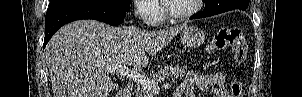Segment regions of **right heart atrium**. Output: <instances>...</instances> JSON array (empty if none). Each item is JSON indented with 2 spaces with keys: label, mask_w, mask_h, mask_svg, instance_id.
I'll use <instances>...</instances> for the list:
<instances>
[{
  "label": "right heart atrium",
  "mask_w": 302,
  "mask_h": 97,
  "mask_svg": "<svg viewBox=\"0 0 302 97\" xmlns=\"http://www.w3.org/2000/svg\"><path fill=\"white\" fill-rule=\"evenodd\" d=\"M136 12L147 24H157L162 20V10L157 0L136 1Z\"/></svg>",
  "instance_id": "obj_1"
}]
</instances>
